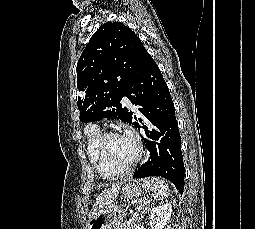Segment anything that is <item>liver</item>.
Listing matches in <instances>:
<instances>
[{
	"instance_id": "obj_1",
	"label": "liver",
	"mask_w": 255,
	"mask_h": 229,
	"mask_svg": "<svg viewBox=\"0 0 255 229\" xmlns=\"http://www.w3.org/2000/svg\"><path fill=\"white\" fill-rule=\"evenodd\" d=\"M122 183L113 184L112 187L103 190L92 207L91 212L89 213V219L95 216L97 213L103 211L107 206L111 205L114 200L117 198L120 187Z\"/></svg>"
}]
</instances>
